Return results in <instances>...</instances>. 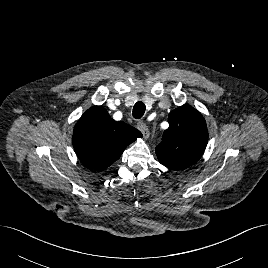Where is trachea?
Listing matches in <instances>:
<instances>
[{
  "label": "trachea",
  "mask_w": 268,
  "mask_h": 268,
  "mask_svg": "<svg viewBox=\"0 0 268 268\" xmlns=\"http://www.w3.org/2000/svg\"><path fill=\"white\" fill-rule=\"evenodd\" d=\"M145 110H146V106L143 102L141 101L136 102V104L133 107V112H132L133 117L135 119H140L144 115Z\"/></svg>",
  "instance_id": "obj_1"
}]
</instances>
